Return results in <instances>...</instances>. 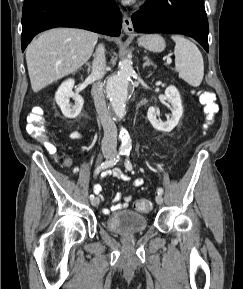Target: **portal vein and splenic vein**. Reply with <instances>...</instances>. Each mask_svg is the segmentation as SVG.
Returning <instances> with one entry per match:
<instances>
[{
	"mask_svg": "<svg viewBox=\"0 0 243 289\" xmlns=\"http://www.w3.org/2000/svg\"><path fill=\"white\" fill-rule=\"evenodd\" d=\"M171 61H172V60H171L170 58H168L167 61H166V64H170Z\"/></svg>",
	"mask_w": 243,
	"mask_h": 289,
	"instance_id": "1",
	"label": "portal vein and splenic vein"
}]
</instances>
